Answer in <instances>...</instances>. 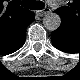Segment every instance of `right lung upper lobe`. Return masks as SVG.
I'll list each match as a JSON object with an SVG mask.
<instances>
[{
	"label": "right lung upper lobe",
	"instance_id": "obj_1",
	"mask_svg": "<svg viewBox=\"0 0 80 80\" xmlns=\"http://www.w3.org/2000/svg\"><path fill=\"white\" fill-rule=\"evenodd\" d=\"M17 22H18V21H17ZM20 24H22V23H21V22H20V23L18 22V25H20ZM25 25H26V24H25ZM25 25H24V26H25ZM24 26H23V27H24Z\"/></svg>",
	"mask_w": 80,
	"mask_h": 80
}]
</instances>
